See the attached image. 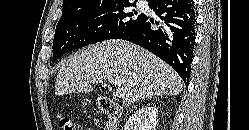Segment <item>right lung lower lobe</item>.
Segmentation results:
<instances>
[{
    "label": "right lung lower lobe",
    "mask_w": 249,
    "mask_h": 130,
    "mask_svg": "<svg viewBox=\"0 0 249 130\" xmlns=\"http://www.w3.org/2000/svg\"><path fill=\"white\" fill-rule=\"evenodd\" d=\"M149 7L161 21L146 15L119 38L131 41L167 62L189 83L195 40V12L191 0H150ZM151 23L157 25L151 28Z\"/></svg>",
    "instance_id": "98d812e1"
}]
</instances>
